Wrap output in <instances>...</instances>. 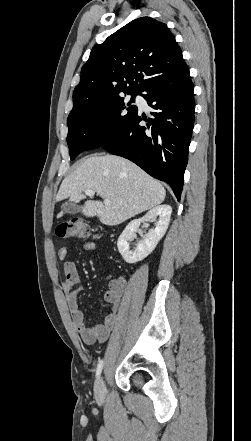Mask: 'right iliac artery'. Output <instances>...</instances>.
<instances>
[{
	"label": "right iliac artery",
	"instance_id": "1",
	"mask_svg": "<svg viewBox=\"0 0 251 441\" xmlns=\"http://www.w3.org/2000/svg\"><path fill=\"white\" fill-rule=\"evenodd\" d=\"M103 369V360H101L97 366L96 376L99 377Z\"/></svg>",
	"mask_w": 251,
	"mask_h": 441
}]
</instances>
